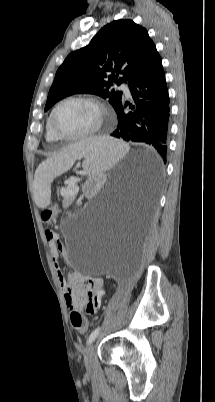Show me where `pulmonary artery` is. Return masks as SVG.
Masks as SVG:
<instances>
[{
  "instance_id": "obj_1",
  "label": "pulmonary artery",
  "mask_w": 215,
  "mask_h": 402,
  "mask_svg": "<svg viewBox=\"0 0 215 402\" xmlns=\"http://www.w3.org/2000/svg\"><path fill=\"white\" fill-rule=\"evenodd\" d=\"M121 89L123 90V92L125 93V95L126 96H130V90H129V87L125 84V83H123L122 85H121Z\"/></svg>"
}]
</instances>
